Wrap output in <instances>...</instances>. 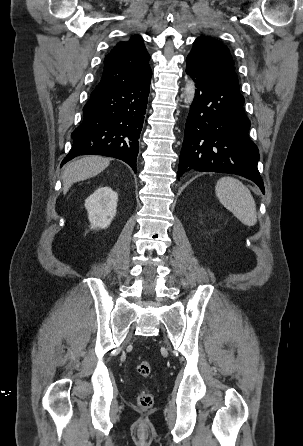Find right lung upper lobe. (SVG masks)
Instances as JSON below:
<instances>
[{"instance_id": "cb5924a9", "label": "right lung upper lobe", "mask_w": 303, "mask_h": 446, "mask_svg": "<svg viewBox=\"0 0 303 446\" xmlns=\"http://www.w3.org/2000/svg\"><path fill=\"white\" fill-rule=\"evenodd\" d=\"M149 58L139 35L132 36L128 42L118 43L106 55L101 80L91 95L150 76L152 71L148 64Z\"/></svg>"}]
</instances>
